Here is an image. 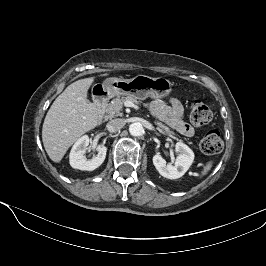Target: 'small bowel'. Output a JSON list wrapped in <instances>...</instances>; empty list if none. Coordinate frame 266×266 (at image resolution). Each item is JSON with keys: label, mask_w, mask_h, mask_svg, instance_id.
<instances>
[{"label": "small bowel", "mask_w": 266, "mask_h": 266, "mask_svg": "<svg viewBox=\"0 0 266 266\" xmlns=\"http://www.w3.org/2000/svg\"><path fill=\"white\" fill-rule=\"evenodd\" d=\"M150 110L159 120L182 135L190 137L194 134V129L184 119V107L178 99L170 98L167 104L153 101Z\"/></svg>", "instance_id": "1"}]
</instances>
